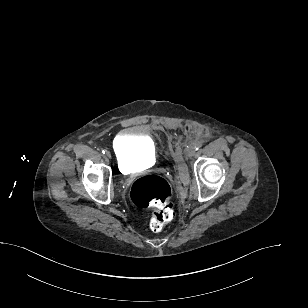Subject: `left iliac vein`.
<instances>
[{
  "instance_id": "obj_1",
  "label": "left iliac vein",
  "mask_w": 308,
  "mask_h": 308,
  "mask_svg": "<svg viewBox=\"0 0 308 308\" xmlns=\"http://www.w3.org/2000/svg\"><path fill=\"white\" fill-rule=\"evenodd\" d=\"M185 154L188 156V157H192L194 156L195 154V148L193 146H188L186 151H185Z\"/></svg>"
}]
</instances>
